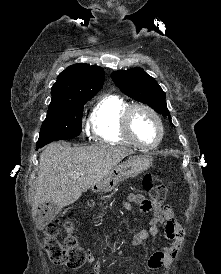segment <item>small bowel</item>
<instances>
[{"instance_id": "1", "label": "small bowel", "mask_w": 221, "mask_h": 274, "mask_svg": "<svg viewBox=\"0 0 221 274\" xmlns=\"http://www.w3.org/2000/svg\"><path fill=\"white\" fill-rule=\"evenodd\" d=\"M130 202L138 204L142 213H152L148 227L135 233L132 238V245H141L146 239L156 236L159 232V224L164 223L165 237L170 241V243L162 250L153 253L149 257L147 265L151 270H156L164 265H169L177 255L182 237V228L178 223L172 209L168 206H162L160 203L153 202L139 193H130L128 196V201L123 203L124 207L128 210H131ZM88 260L90 263L95 262L94 256L90 252ZM90 274H100L98 264H95L94 269ZM126 274L135 273L128 272Z\"/></svg>"}]
</instances>
